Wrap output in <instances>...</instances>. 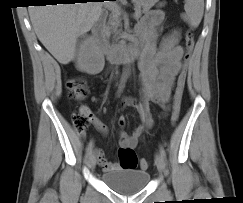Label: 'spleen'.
Returning <instances> with one entry per match:
<instances>
[{
	"label": "spleen",
	"mask_w": 243,
	"mask_h": 203,
	"mask_svg": "<svg viewBox=\"0 0 243 203\" xmlns=\"http://www.w3.org/2000/svg\"><path fill=\"white\" fill-rule=\"evenodd\" d=\"M183 19L193 28H197L204 13V0H185Z\"/></svg>",
	"instance_id": "obj_1"
}]
</instances>
